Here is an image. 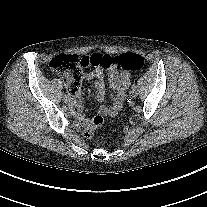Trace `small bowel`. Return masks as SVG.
I'll return each mask as SVG.
<instances>
[{
    "label": "small bowel",
    "mask_w": 207,
    "mask_h": 207,
    "mask_svg": "<svg viewBox=\"0 0 207 207\" xmlns=\"http://www.w3.org/2000/svg\"><path fill=\"white\" fill-rule=\"evenodd\" d=\"M106 74L110 88L112 90V103L110 106H101L99 108L98 115L102 117L115 116L118 113L125 100L126 90L131 84V76L126 71H122L117 68H109ZM84 78L94 81L96 99L98 101L104 100V70L98 67L92 71H86L84 73ZM68 98L76 118L80 121L83 127H88L92 120L82 114V98L79 89L70 92Z\"/></svg>",
    "instance_id": "small-bowel-1"
}]
</instances>
